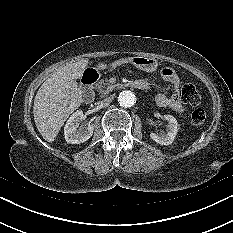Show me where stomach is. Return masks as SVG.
<instances>
[{
  "label": "stomach",
  "instance_id": "stomach-1",
  "mask_svg": "<svg viewBox=\"0 0 233 233\" xmlns=\"http://www.w3.org/2000/svg\"><path fill=\"white\" fill-rule=\"evenodd\" d=\"M132 64L137 68L146 71V72H153L157 69V60L148 57V56H136L132 59Z\"/></svg>",
  "mask_w": 233,
  "mask_h": 233
}]
</instances>
